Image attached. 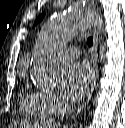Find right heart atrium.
<instances>
[{"label":"right heart atrium","mask_w":125,"mask_h":128,"mask_svg":"<svg viewBox=\"0 0 125 128\" xmlns=\"http://www.w3.org/2000/svg\"><path fill=\"white\" fill-rule=\"evenodd\" d=\"M51 112H59L63 109L64 103L61 98L53 92H41Z\"/></svg>","instance_id":"d8ad5b80"}]
</instances>
